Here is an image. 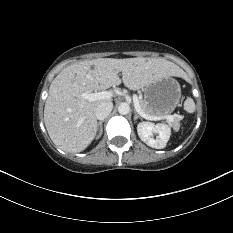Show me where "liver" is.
I'll use <instances>...</instances> for the list:
<instances>
[{"mask_svg":"<svg viewBox=\"0 0 233 233\" xmlns=\"http://www.w3.org/2000/svg\"><path fill=\"white\" fill-rule=\"evenodd\" d=\"M122 73V79L119 73ZM183 70L163 58H98L64 68L52 81L45 102L44 122L53 143L60 149L82 152L97 133L96 108L110 99L88 101L82 93L105 90L121 84L131 90L143 89Z\"/></svg>","mask_w":233,"mask_h":233,"instance_id":"obj_1","label":"liver"}]
</instances>
